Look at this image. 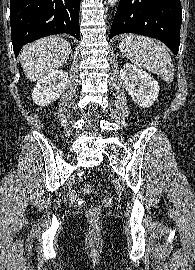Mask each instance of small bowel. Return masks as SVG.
Returning a JSON list of instances; mask_svg holds the SVG:
<instances>
[{"instance_id": "obj_1", "label": "small bowel", "mask_w": 195, "mask_h": 270, "mask_svg": "<svg viewBox=\"0 0 195 270\" xmlns=\"http://www.w3.org/2000/svg\"><path fill=\"white\" fill-rule=\"evenodd\" d=\"M71 199L73 201H75L77 204H81L82 203V201L80 199L76 198V196H75V194L73 192L71 193Z\"/></svg>"}]
</instances>
